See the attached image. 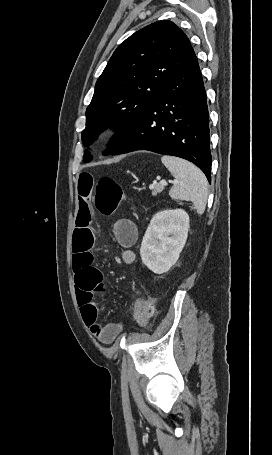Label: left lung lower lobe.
I'll use <instances>...</instances> for the list:
<instances>
[{
  "label": "left lung lower lobe",
  "mask_w": 272,
  "mask_h": 455,
  "mask_svg": "<svg viewBox=\"0 0 272 455\" xmlns=\"http://www.w3.org/2000/svg\"><path fill=\"white\" fill-rule=\"evenodd\" d=\"M135 150L189 160L211 181L209 114L197 58L169 80L112 154Z\"/></svg>",
  "instance_id": "left-lung-lower-lobe-1"
}]
</instances>
